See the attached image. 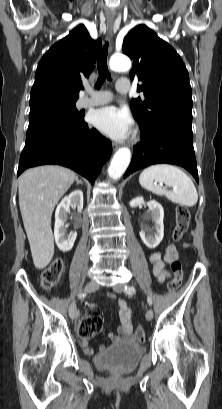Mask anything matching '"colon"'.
I'll list each match as a JSON object with an SVG mask.
<instances>
[{
  "label": "colon",
  "mask_w": 222,
  "mask_h": 409,
  "mask_svg": "<svg viewBox=\"0 0 222 409\" xmlns=\"http://www.w3.org/2000/svg\"><path fill=\"white\" fill-rule=\"evenodd\" d=\"M190 222V212L184 207L180 206L176 210L175 226L173 229V240L179 241L188 229ZM174 278L168 284L169 290H175L182 279L183 270L182 265L178 260H172L170 262ZM64 269V262L61 258H57L42 272L40 277L41 287L45 291H50L59 282ZM98 311L95 308H90L87 312V317L84 318L78 325V333L81 339L90 340L102 328V321L97 318ZM137 341L143 342L145 339V333L141 326H138L135 331Z\"/></svg>",
  "instance_id": "colon-1"
}]
</instances>
